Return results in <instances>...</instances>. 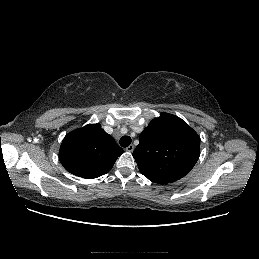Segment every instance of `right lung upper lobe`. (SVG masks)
I'll return each instance as SVG.
<instances>
[{"label":"right lung upper lobe","mask_w":259,"mask_h":259,"mask_svg":"<svg viewBox=\"0 0 259 259\" xmlns=\"http://www.w3.org/2000/svg\"><path fill=\"white\" fill-rule=\"evenodd\" d=\"M122 153L123 149L100 124H89L65 136L59 159L68 172L92 179L108 173Z\"/></svg>","instance_id":"right-lung-upper-lobe-1"}]
</instances>
